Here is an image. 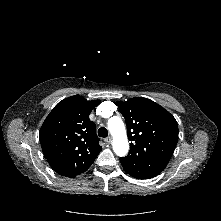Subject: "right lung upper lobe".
<instances>
[{"label": "right lung upper lobe", "instance_id": "cb5924a9", "mask_svg": "<svg viewBox=\"0 0 221 221\" xmlns=\"http://www.w3.org/2000/svg\"><path fill=\"white\" fill-rule=\"evenodd\" d=\"M100 103L75 95L59 102L45 119L39 139L44 155L59 175L73 178L85 172L102 147L89 114Z\"/></svg>", "mask_w": 221, "mask_h": 221}]
</instances>
